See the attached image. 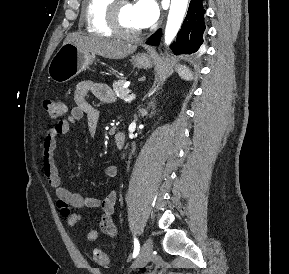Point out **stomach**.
<instances>
[{
  "label": "stomach",
  "mask_w": 289,
  "mask_h": 274,
  "mask_svg": "<svg viewBox=\"0 0 289 274\" xmlns=\"http://www.w3.org/2000/svg\"><path fill=\"white\" fill-rule=\"evenodd\" d=\"M95 61V55L79 49L72 43H64L53 56L48 66V75L56 83H65L88 68ZM134 67L148 69L152 59L146 53L132 56Z\"/></svg>",
  "instance_id": "stomach-1"
}]
</instances>
